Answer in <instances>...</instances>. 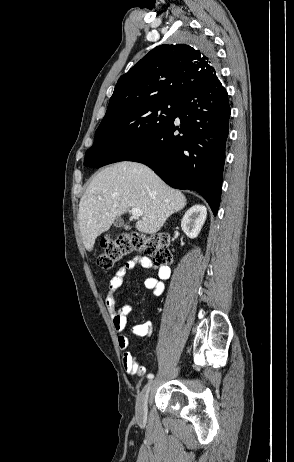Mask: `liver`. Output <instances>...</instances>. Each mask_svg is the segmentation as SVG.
I'll return each mask as SVG.
<instances>
[{
    "label": "liver",
    "instance_id": "obj_1",
    "mask_svg": "<svg viewBox=\"0 0 294 462\" xmlns=\"http://www.w3.org/2000/svg\"><path fill=\"white\" fill-rule=\"evenodd\" d=\"M185 206V196L164 183L149 167L128 161L115 163L92 179L80 200L78 219L84 246L92 251L96 238L129 208L143 213L136 229L155 234L173 213Z\"/></svg>",
    "mask_w": 294,
    "mask_h": 462
}]
</instances>
